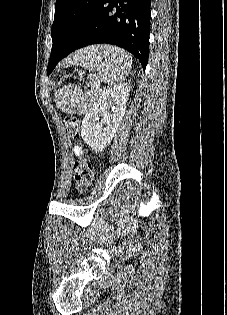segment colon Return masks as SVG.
Wrapping results in <instances>:
<instances>
[{
  "label": "colon",
  "mask_w": 227,
  "mask_h": 315,
  "mask_svg": "<svg viewBox=\"0 0 227 315\" xmlns=\"http://www.w3.org/2000/svg\"><path fill=\"white\" fill-rule=\"evenodd\" d=\"M74 78H80L81 73L71 74ZM65 129L67 134L72 138H77L80 132V124L77 118L67 116L65 118ZM74 184L79 191H84L90 186L93 179V165L85 156H79L73 167Z\"/></svg>",
  "instance_id": "obj_1"
}]
</instances>
